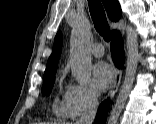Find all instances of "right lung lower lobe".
Masks as SVG:
<instances>
[{"instance_id":"98d812e1","label":"right lung lower lobe","mask_w":156,"mask_h":124,"mask_svg":"<svg viewBox=\"0 0 156 124\" xmlns=\"http://www.w3.org/2000/svg\"><path fill=\"white\" fill-rule=\"evenodd\" d=\"M111 53L115 65L121 68L124 64V48L121 35L112 31ZM109 100L104 101L98 108L95 124H105L108 113Z\"/></svg>"}]
</instances>
